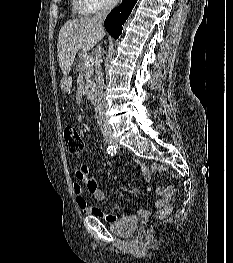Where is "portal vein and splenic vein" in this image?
Instances as JSON below:
<instances>
[{
  "mask_svg": "<svg viewBox=\"0 0 233 263\" xmlns=\"http://www.w3.org/2000/svg\"><path fill=\"white\" fill-rule=\"evenodd\" d=\"M94 63V58L92 56H87L84 62L85 67H90Z\"/></svg>",
  "mask_w": 233,
  "mask_h": 263,
  "instance_id": "portal-vein-and-splenic-vein-1",
  "label": "portal vein and splenic vein"
}]
</instances>
